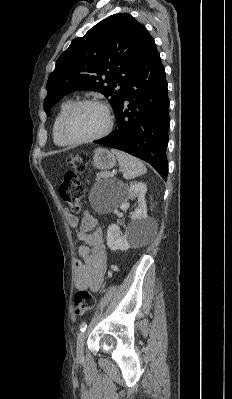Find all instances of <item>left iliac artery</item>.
<instances>
[{
    "label": "left iliac artery",
    "mask_w": 232,
    "mask_h": 399,
    "mask_svg": "<svg viewBox=\"0 0 232 399\" xmlns=\"http://www.w3.org/2000/svg\"><path fill=\"white\" fill-rule=\"evenodd\" d=\"M86 329H87V323H86V322H83V323L80 325V331H81V332H84Z\"/></svg>",
    "instance_id": "44dca946"
}]
</instances>
